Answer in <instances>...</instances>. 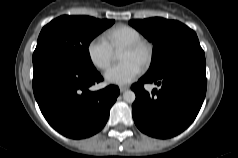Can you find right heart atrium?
I'll return each instance as SVG.
<instances>
[{"instance_id": "d8ad5b80", "label": "right heart atrium", "mask_w": 238, "mask_h": 158, "mask_svg": "<svg viewBox=\"0 0 238 158\" xmlns=\"http://www.w3.org/2000/svg\"><path fill=\"white\" fill-rule=\"evenodd\" d=\"M87 53L92 64L98 69H106L114 58V50L102 36L94 37L87 45Z\"/></svg>"}]
</instances>
